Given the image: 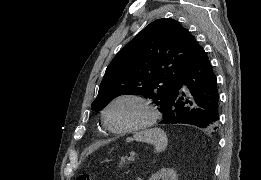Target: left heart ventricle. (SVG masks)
I'll list each match as a JSON object with an SVG mask.
<instances>
[{
  "mask_svg": "<svg viewBox=\"0 0 261 180\" xmlns=\"http://www.w3.org/2000/svg\"><path fill=\"white\" fill-rule=\"evenodd\" d=\"M145 113L144 107L130 100L114 105L109 111V123L115 129H127L137 125Z\"/></svg>",
  "mask_w": 261,
  "mask_h": 180,
  "instance_id": "obj_1",
  "label": "left heart ventricle"
}]
</instances>
